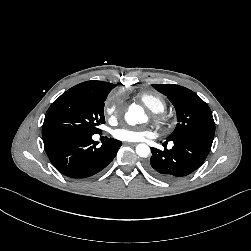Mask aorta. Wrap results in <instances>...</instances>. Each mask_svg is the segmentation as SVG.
Segmentation results:
<instances>
[{
  "label": "aorta",
  "mask_w": 251,
  "mask_h": 251,
  "mask_svg": "<svg viewBox=\"0 0 251 251\" xmlns=\"http://www.w3.org/2000/svg\"><path fill=\"white\" fill-rule=\"evenodd\" d=\"M125 120L129 125L144 123L147 120L145 112L141 106L131 105L125 114ZM136 153L140 157H147L150 154V148L146 144H138Z\"/></svg>",
  "instance_id": "aorta-1"
}]
</instances>
